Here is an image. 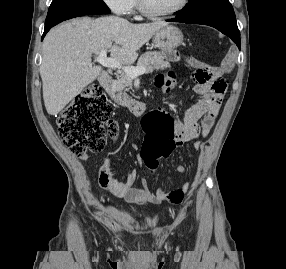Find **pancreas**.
Segmentation results:
<instances>
[{
    "mask_svg": "<svg viewBox=\"0 0 286 269\" xmlns=\"http://www.w3.org/2000/svg\"><path fill=\"white\" fill-rule=\"evenodd\" d=\"M137 67H144L145 73H152L154 70H163L170 67V63L164 59V57L158 52H146L140 56ZM133 78L122 73L116 80L115 86L118 91V97L125 95L124 91H127L132 87Z\"/></svg>",
    "mask_w": 286,
    "mask_h": 269,
    "instance_id": "pancreas-1",
    "label": "pancreas"
}]
</instances>
